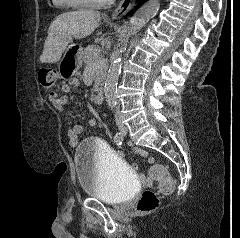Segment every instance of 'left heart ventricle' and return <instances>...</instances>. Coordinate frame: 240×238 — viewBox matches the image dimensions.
<instances>
[{
  "instance_id": "obj_1",
  "label": "left heart ventricle",
  "mask_w": 240,
  "mask_h": 238,
  "mask_svg": "<svg viewBox=\"0 0 240 238\" xmlns=\"http://www.w3.org/2000/svg\"><path fill=\"white\" fill-rule=\"evenodd\" d=\"M92 1H103V0H92Z\"/></svg>"
}]
</instances>
